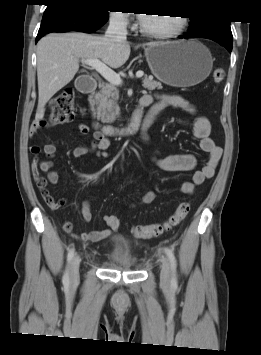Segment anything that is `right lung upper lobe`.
Returning <instances> with one entry per match:
<instances>
[{
	"label": "right lung upper lobe",
	"mask_w": 261,
	"mask_h": 355,
	"mask_svg": "<svg viewBox=\"0 0 261 355\" xmlns=\"http://www.w3.org/2000/svg\"><path fill=\"white\" fill-rule=\"evenodd\" d=\"M49 4L52 3H77V2H81L84 0H47Z\"/></svg>",
	"instance_id": "right-lung-upper-lobe-1"
}]
</instances>
